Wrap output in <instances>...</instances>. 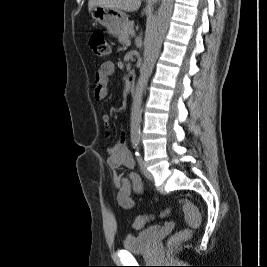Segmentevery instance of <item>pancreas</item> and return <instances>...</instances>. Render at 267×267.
<instances>
[{"mask_svg":"<svg viewBox=\"0 0 267 267\" xmlns=\"http://www.w3.org/2000/svg\"><path fill=\"white\" fill-rule=\"evenodd\" d=\"M133 33H134V22L128 21L118 36L119 42L125 43L129 39V36Z\"/></svg>","mask_w":267,"mask_h":267,"instance_id":"pancreas-1","label":"pancreas"}]
</instances>
